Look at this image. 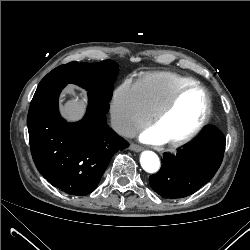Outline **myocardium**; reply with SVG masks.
Returning a JSON list of instances; mask_svg holds the SVG:
<instances>
[{"label":"myocardium","instance_id":"obj_1","mask_svg":"<svg viewBox=\"0 0 250 250\" xmlns=\"http://www.w3.org/2000/svg\"><path fill=\"white\" fill-rule=\"evenodd\" d=\"M199 89L203 92L205 98V111L197 123V125L188 133L173 140L167 141V144L171 147H179L182 146L192 139H194L205 127L208 123L211 111H212V103L211 97L208 90L201 84L197 82L188 83L180 86L169 98V100L152 116L151 118V126L157 125L176 105L180 97L188 90Z\"/></svg>","mask_w":250,"mask_h":250}]
</instances>
